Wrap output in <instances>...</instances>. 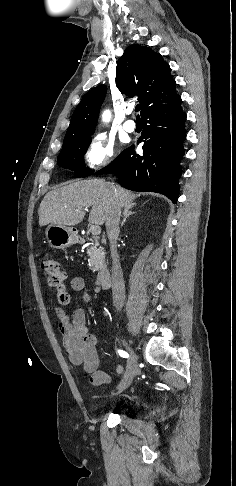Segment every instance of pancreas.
<instances>
[{"label": "pancreas", "mask_w": 236, "mask_h": 486, "mask_svg": "<svg viewBox=\"0 0 236 486\" xmlns=\"http://www.w3.org/2000/svg\"><path fill=\"white\" fill-rule=\"evenodd\" d=\"M87 254L89 256V266L93 272L106 269L104 248L99 246L97 240L87 249Z\"/></svg>", "instance_id": "1"}]
</instances>
